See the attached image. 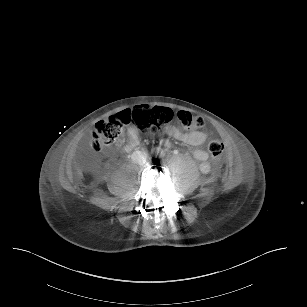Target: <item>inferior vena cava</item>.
<instances>
[{
  "label": "inferior vena cava",
  "mask_w": 307,
  "mask_h": 307,
  "mask_svg": "<svg viewBox=\"0 0 307 307\" xmlns=\"http://www.w3.org/2000/svg\"><path fill=\"white\" fill-rule=\"evenodd\" d=\"M131 159L134 163L144 165L147 161V153L143 151H134L131 155Z\"/></svg>",
  "instance_id": "602c4592"
}]
</instances>
